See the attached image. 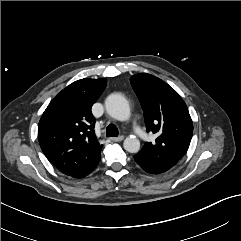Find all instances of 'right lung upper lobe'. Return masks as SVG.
Here are the masks:
<instances>
[{"instance_id": "obj_1", "label": "right lung upper lobe", "mask_w": 241, "mask_h": 241, "mask_svg": "<svg viewBox=\"0 0 241 241\" xmlns=\"http://www.w3.org/2000/svg\"><path fill=\"white\" fill-rule=\"evenodd\" d=\"M105 79L73 82L50 102L38 125V140L47 159L73 176L100 161L102 145L94 133L92 105L106 87Z\"/></svg>"}]
</instances>
